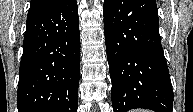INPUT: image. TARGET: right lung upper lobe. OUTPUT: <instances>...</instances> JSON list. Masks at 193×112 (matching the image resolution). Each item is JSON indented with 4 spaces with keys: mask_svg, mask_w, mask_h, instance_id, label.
Wrapping results in <instances>:
<instances>
[{
    "mask_svg": "<svg viewBox=\"0 0 193 112\" xmlns=\"http://www.w3.org/2000/svg\"><path fill=\"white\" fill-rule=\"evenodd\" d=\"M60 0H31L27 17L44 12L57 4Z\"/></svg>",
    "mask_w": 193,
    "mask_h": 112,
    "instance_id": "cb5924a9",
    "label": "right lung upper lobe"
}]
</instances>
